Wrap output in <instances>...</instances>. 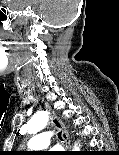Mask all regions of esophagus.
<instances>
[{
    "label": "esophagus",
    "instance_id": "1",
    "mask_svg": "<svg viewBox=\"0 0 119 155\" xmlns=\"http://www.w3.org/2000/svg\"><path fill=\"white\" fill-rule=\"evenodd\" d=\"M39 98V97H37ZM50 123L61 132L62 134V139H63V146L65 148V151H68L70 149V137H69V133L68 130L66 129L65 125L63 124V122L61 120H59V118L54 114L51 113L50 114Z\"/></svg>",
    "mask_w": 119,
    "mask_h": 155
}]
</instances>
